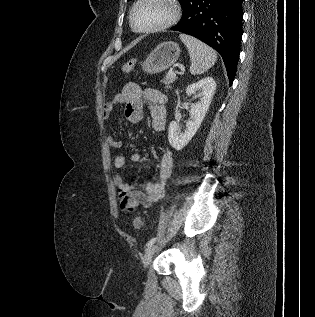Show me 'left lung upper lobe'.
<instances>
[{
  "instance_id": "obj_1",
  "label": "left lung upper lobe",
  "mask_w": 315,
  "mask_h": 317,
  "mask_svg": "<svg viewBox=\"0 0 315 317\" xmlns=\"http://www.w3.org/2000/svg\"><path fill=\"white\" fill-rule=\"evenodd\" d=\"M128 1H129V0H128ZM192 1H193V0H179L181 6H182V8H183V12L186 11V9L190 6V4H191Z\"/></svg>"
}]
</instances>
